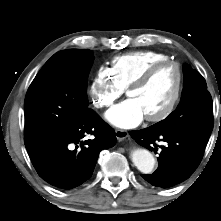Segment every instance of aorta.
Returning <instances> with one entry per match:
<instances>
[{
    "label": "aorta",
    "mask_w": 221,
    "mask_h": 221,
    "mask_svg": "<svg viewBox=\"0 0 221 221\" xmlns=\"http://www.w3.org/2000/svg\"><path fill=\"white\" fill-rule=\"evenodd\" d=\"M131 159L138 170L145 174L151 173L156 163L154 156L148 150L141 148L131 152Z\"/></svg>",
    "instance_id": "762f6f07"
}]
</instances>
